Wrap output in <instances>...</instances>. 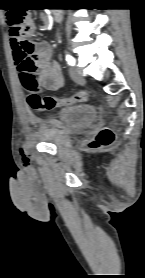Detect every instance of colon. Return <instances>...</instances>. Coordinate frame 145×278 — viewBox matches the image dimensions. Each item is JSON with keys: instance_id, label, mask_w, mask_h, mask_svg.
Wrapping results in <instances>:
<instances>
[{"instance_id": "obj_1", "label": "colon", "mask_w": 145, "mask_h": 278, "mask_svg": "<svg viewBox=\"0 0 145 278\" xmlns=\"http://www.w3.org/2000/svg\"><path fill=\"white\" fill-rule=\"evenodd\" d=\"M29 12L23 8H15L7 14V24L9 34L13 38L20 39L21 48L27 52L34 50V45L26 38L30 25ZM22 83L27 90V103L33 111H46L55 107H68L77 103L84 102L88 94L81 92L70 97L59 98L52 95H41L37 87V77L31 73L23 76ZM114 139V132L105 126L100 129L96 139L92 142L93 148H100L109 145ZM23 154L28 153V147L21 146Z\"/></svg>"}]
</instances>
